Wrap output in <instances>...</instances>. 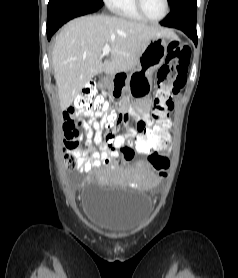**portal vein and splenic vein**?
<instances>
[{
    "instance_id": "18ae733b",
    "label": "portal vein and splenic vein",
    "mask_w": 238,
    "mask_h": 278,
    "mask_svg": "<svg viewBox=\"0 0 238 278\" xmlns=\"http://www.w3.org/2000/svg\"><path fill=\"white\" fill-rule=\"evenodd\" d=\"M109 52H110V46L108 44H106L104 47H103V53L102 55H109Z\"/></svg>"
}]
</instances>
